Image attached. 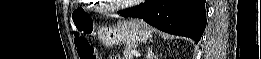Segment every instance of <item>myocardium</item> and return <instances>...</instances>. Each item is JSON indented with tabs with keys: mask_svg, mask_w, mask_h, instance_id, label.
<instances>
[{
	"mask_svg": "<svg viewBox=\"0 0 261 59\" xmlns=\"http://www.w3.org/2000/svg\"><path fill=\"white\" fill-rule=\"evenodd\" d=\"M103 2L106 4V7L112 11L121 10L130 6L129 3L115 4L112 3L111 1H103Z\"/></svg>",
	"mask_w": 261,
	"mask_h": 59,
	"instance_id": "1",
	"label": "myocardium"
}]
</instances>
